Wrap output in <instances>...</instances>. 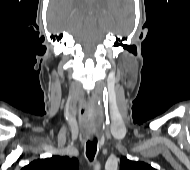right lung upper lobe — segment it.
Returning a JSON list of instances; mask_svg holds the SVG:
<instances>
[{"label": "right lung upper lobe", "instance_id": "right-lung-upper-lobe-1", "mask_svg": "<svg viewBox=\"0 0 190 170\" xmlns=\"http://www.w3.org/2000/svg\"><path fill=\"white\" fill-rule=\"evenodd\" d=\"M79 163L75 157L52 156L29 163L21 170H78Z\"/></svg>", "mask_w": 190, "mask_h": 170}]
</instances>
